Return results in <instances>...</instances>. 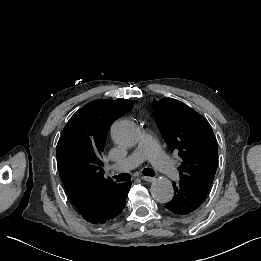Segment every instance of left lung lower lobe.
Masks as SVG:
<instances>
[{
  "label": "left lung lower lobe",
  "mask_w": 261,
  "mask_h": 261,
  "mask_svg": "<svg viewBox=\"0 0 261 261\" xmlns=\"http://www.w3.org/2000/svg\"><path fill=\"white\" fill-rule=\"evenodd\" d=\"M175 193L173 199L165 207L177 215H186L195 211L205 200L207 191L200 187L180 181L173 182Z\"/></svg>",
  "instance_id": "obj_1"
}]
</instances>
